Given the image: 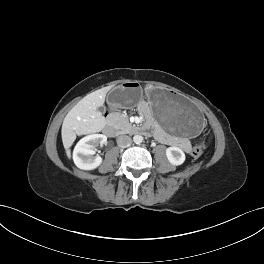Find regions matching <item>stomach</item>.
I'll return each mask as SVG.
<instances>
[{
    "label": "stomach",
    "mask_w": 264,
    "mask_h": 264,
    "mask_svg": "<svg viewBox=\"0 0 264 264\" xmlns=\"http://www.w3.org/2000/svg\"><path fill=\"white\" fill-rule=\"evenodd\" d=\"M108 99L114 108H130L139 105L137 89L126 83L118 86ZM146 106L153 118L167 132L178 137H198L204 131L202 113L188 99L172 91L152 87L146 90Z\"/></svg>",
    "instance_id": "obj_1"
}]
</instances>
